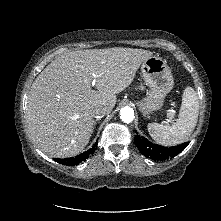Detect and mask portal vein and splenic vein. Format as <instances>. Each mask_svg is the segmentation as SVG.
Listing matches in <instances>:
<instances>
[{"label": "portal vein and splenic vein", "instance_id": "obj_1", "mask_svg": "<svg viewBox=\"0 0 221 221\" xmlns=\"http://www.w3.org/2000/svg\"><path fill=\"white\" fill-rule=\"evenodd\" d=\"M94 83H95V80H93V83H92V84L94 85Z\"/></svg>", "mask_w": 221, "mask_h": 221}]
</instances>
